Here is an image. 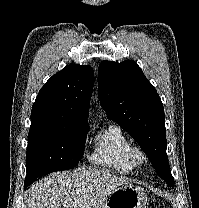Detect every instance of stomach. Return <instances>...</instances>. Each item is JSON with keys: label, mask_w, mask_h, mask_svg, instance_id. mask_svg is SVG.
<instances>
[{"label": "stomach", "mask_w": 199, "mask_h": 208, "mask_svg": "<svg viewBox=\"0 0 199 208\" xmlns=\"http://www.w3.org/2000/svg\"><path fill=\"white\" fill-rule=\"evenodd\" d=\"M147 203L145 191L133 185H123L94 208H144Z\"/></svg>", "instance_id": "0dacf381"}]
</instances>
